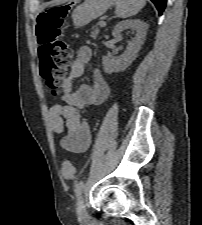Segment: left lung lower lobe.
<instances>
[{
    "label": "left lung lower lobe",
    "instance_id": "obj_1",
    "mask_svg": "<svg viewBox=\"0 0 202 225\" xmlns=\"http://www.w3.org/2000/svg\"><path fill=\"white\" fill-rule=\"evenodd\" d=\"M151 1L155 4L159 14L162 15V12L165 9L167 0H151Z\"/></svg>",
    "mask_w": 202,
    "mask_h": 225
}]
</instances>
